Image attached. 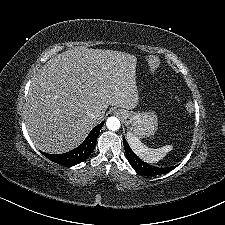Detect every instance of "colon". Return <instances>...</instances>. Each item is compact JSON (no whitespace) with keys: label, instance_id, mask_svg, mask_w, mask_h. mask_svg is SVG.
Returning <instances> with one entry per match:
<instances>
[{"label":"colon","instance_id":"1","mask_svg":"<svg viewBox=\"0 0 225 225\" xmlns=\"http://www.w3.org/2000/svg\"><path fill=\"white\" fill-rule=\"evenodd\" d=\"M159 64H160V61L157 58H155L153 56L149 57L148 65L150 67H157Z\"/></svg>","mask_w":225,"mask_h":225}]
</instances>
